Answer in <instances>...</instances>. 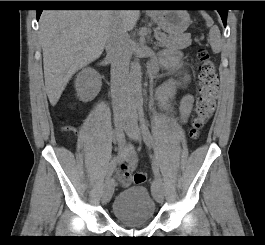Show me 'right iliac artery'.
Listing matches in <instances>:
<instances>
[{"instance_id": "82829eb1", "label": "right iliac artery", "mask_w": 265, "mask_h": 245, "mask_svg": "<svg viewBox=\"0 0 265 245\" xmlns=\"http://www.w3.org/2000/svg\"><path fill=\"white\" fill-rule=\"evenodd\" d=\"M112 137H113L114 142H116L119 145L120 149H121L122 148L123 138H124V133L122 131H118L117 129H114L113 132H112ZM117 158H115L114 161H112L109 164V166L107 167V170H106V176L107 177L106 178H109L112 164H114V162L117 160Z\"/></svg>"}]
</instances>
